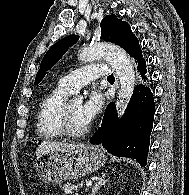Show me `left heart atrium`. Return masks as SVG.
Listing matches in <instances>:
<instances>
[{"instance_id":"39dd6f15","label":"left heart atrium","mask_w":189,"mask_h":195,"mask_svg":"<svg viewBox=\"0 0 189 195\" xmlns=\"http://www.w3.org/2000/svg\"><path fill=\"white\" fill-rule=\"evenodd\" d=\"M103 106V96L99 92H92L81 105L80 114L83 121L89 125L99 114Z\"/></svg>"}]
</instances>
